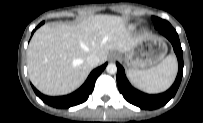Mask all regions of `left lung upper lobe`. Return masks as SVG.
<instances>
[{
  "label": "left lung upper lobe",
  "instance_id": "1",
  "mask_svg": "<svg viewBox=\"0 0 203 123\" xmlns=\"http://www.w3.org/2000/svg\"><path fill=\"white\" fill-rule=\"evenodd\" d=\"M152 20L154 22V26H155L156 29L159 28L160 26L164 25V24H168V22L166 20H162V19H160L158 17L153 16Z\"/></svg>",
  "mask_w": 203,
  "mask_h": 123
}]
</instances>
